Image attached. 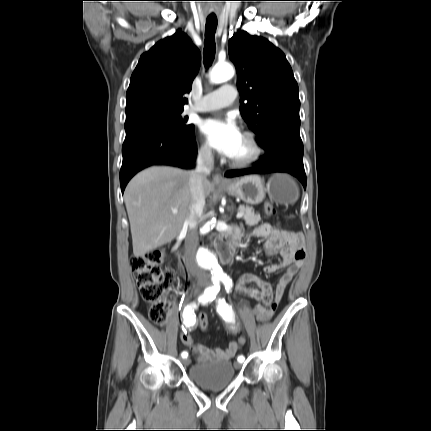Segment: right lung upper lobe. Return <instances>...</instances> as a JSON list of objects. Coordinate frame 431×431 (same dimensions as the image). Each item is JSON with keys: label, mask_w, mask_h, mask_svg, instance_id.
Wrapping results in <instances>:
<instances>
[{"label": "right lung upper lobe", "mask_w": 431, "mask_h": 431, "mask_svg": "<svg viewBox=\"0 0 431 431\" xmlns=\"http://www.w3.org/2000/svg\"><path fill=\"white\" fill-rule=\"evenodd\" d=\"M201 63L199 49L175 33L142 54L126 93V120L156 112L183 110Z\"/></svg>", "instance_id": "cb5924a9"}]
</instances>
